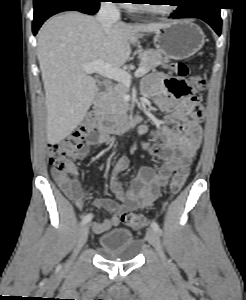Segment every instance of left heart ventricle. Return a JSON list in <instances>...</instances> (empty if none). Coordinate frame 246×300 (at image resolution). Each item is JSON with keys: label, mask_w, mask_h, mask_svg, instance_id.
Returning a JSON list of instances; mask_svg holds the SVG:
<instances>
[{"label": "left heart ventricle", "mask_w": 246, "mask_h": 300, "mask_svg": "<svg viewBox=\"0 0 246 300\" xmlns=\"http://www.w3.org/2000/svg\"><path fill=\"white\" fill-rule=\"evenodd\" d=\"M159 3H166V4H158V5H153L149 4V6L154 9V10H159V11H164L170 8V5H167L168 3H171V1H157Z\"/></svg>", "instance_id": "b2bd125f"}]
</instances>
